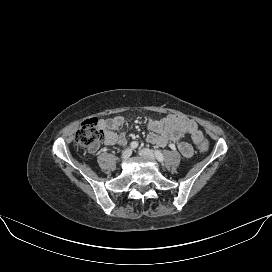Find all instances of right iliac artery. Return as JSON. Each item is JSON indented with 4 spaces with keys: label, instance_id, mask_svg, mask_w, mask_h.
<instances>
[{
    "label": "right iliac artery",
    "instance_id": "right-iliac-artery-1",
    "mask_svg": "<svg viewBox=\"0 0 272 272\" xmlns=\"http://www.w3.org/2000/svg\"><path fill=\"white\" fill-rule=\"evenodd\" d=\"M130 147L132 149H136L138 147V142H136V141L131 142Z\"/></svg>",
    "mask_w": 272,
    "mask_h": 272
}]
</instances>
